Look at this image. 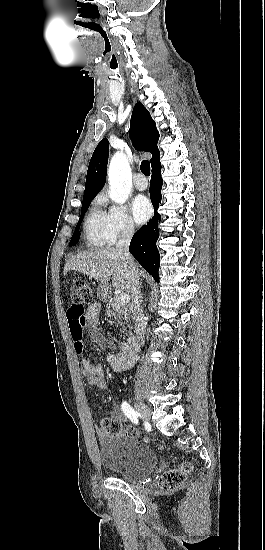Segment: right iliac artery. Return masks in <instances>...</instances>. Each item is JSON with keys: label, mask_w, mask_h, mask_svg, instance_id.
<instances>
[{"label": "right iliac artery", "mask_w": 265, "mask_h": 550, "mask_svg": "<svg viewBox=\"0 0 265 550\" xmlns=\"http://www.w3.org/2000/svg\"><path fill=\"white\" fill-rule=\"evenodd\" d=\"M121 408L125 415L135 424H138L139 413L136 412L126 401H123Z\"/></svg>", "instance_id": "right-iliac-artery-1"}]
</instances>
